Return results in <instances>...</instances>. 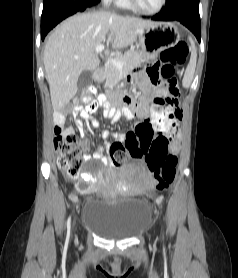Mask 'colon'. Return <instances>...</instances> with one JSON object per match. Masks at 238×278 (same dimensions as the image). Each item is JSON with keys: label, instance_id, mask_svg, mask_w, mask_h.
I'll use <instances>...</instances> for the list:
<instances>
[{"label": "colon", "instance_id": "colon-1", "mask_svg": "<svg viewBox=\"0 0 238 278\" xmlns=\"http://www.w3.org/2000/svg\"><path fill=\"white\" fill-rule=\"evenodd\" d=\"M188 45L184 41L178 42L160 54L163 64L160 76L163 77L158 98L151 102L152 119L148 125L140 127H155L156 134L163 135L174 127L175 106L179 89L177 87L176 71L187 57ZM150 77V76H149ZM94 88L85 87L76 95L72 104L75 108L84 107L87 111L94 112L97 108L94 100ZM125 100H130L126 97ZM152 137H140L139 143H114L110 147V156L114 165H121L128 158H144L156 179L157 190L170 187L176 174L177 156L172 153L169 144H151ZM54 148L58 154V166L70 177L77 178L81 174L83 147L78 143L74 133H56Z\"/></svg>", "mask_w": 238, "mask_h": 278}]
</instances>
